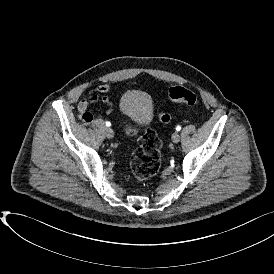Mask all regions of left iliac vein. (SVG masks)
Instances as JSON below:
<instances>
[{
	"instance_id": "1",
	"label": "left iliac vein",
	"mask_w": 274,
	"mask_h": 274,
	"mask_svg": "<svg viewBox=\"0 0 274 274\" xmlns=\"http://www.w3.org/2000/svg\"><path fill=\"white\" fill-rule=\"evenodd\" d=\"M172 141H173L174 143H178V142L180 141V135H179L178 132H174V133L172 134Z\"/></svg>"
}]
</instances>
